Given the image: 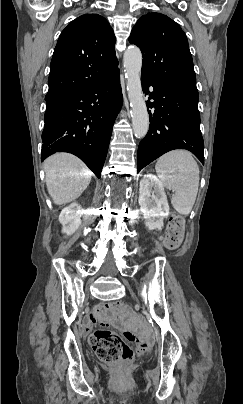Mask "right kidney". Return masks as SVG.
I'll return each mask as SVG.
<instances>
[{
	"mask_svg": "<svg viewBox=\"0 0 243 404\" xmlns=\"http://www.w3.org/2000/svg\"><path fill=\"white\" fill-rule=\"evenodd\" d=\"M82 214L83 210L79 204H76V202H73V204H70L67 208H63L59 216V222L63 226V234L71 236V234H74V232L78 230L81 224Z\"/></svg>",
	"mask_w": 243,
	"mask_h": 404,
	"instance_id": "ca27d5eb",
	"label": "right kidney"
}]
</instances>
